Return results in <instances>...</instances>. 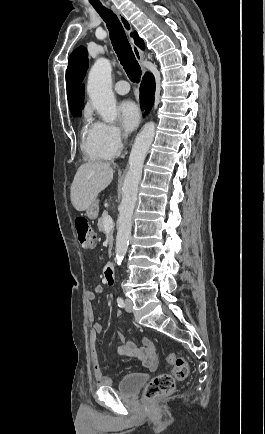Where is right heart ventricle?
<instances>
[{
	"mask_svg": "<svg viewBox=\"0 0 265 434\" xmlns=\"http://www.w3.org/2000/svg\"><path fill=\"white\" fill-rule=\"evenodd\" d=\"M81 123V149L86 159L89 162H101L114 158L116 154H105L102 149L96 145L93 133L94 124H92L91 113L88 109L83 110Z\"/></svg>",
	"mask_w": 265,
	"mask_h": 434,
	"instance_id": "right-heart-ventricle-1",
	"label": "right heart ventricle"
}]
</instances>
